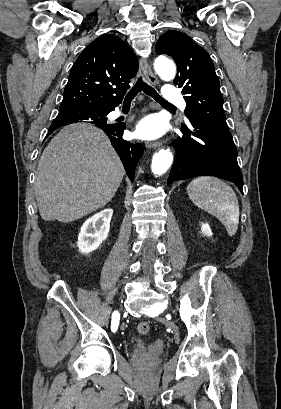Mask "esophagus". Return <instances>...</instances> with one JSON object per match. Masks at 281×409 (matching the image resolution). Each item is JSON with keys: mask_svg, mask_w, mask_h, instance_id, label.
Here are the masks:
<instances>
[{"mask_svg": "<svg viewBox=\"0 0 281 409\" xmlns=\"http://www.w3.org/2000/svg\"><path fill=\"white\" fill-rule=\"evenodd\" d=\"M140 67H141L146 79L148 80V82H150L153 85L158 84V79L154 75V73L152 72L147 60L141 58L140 59ZM160 145H162L160 142H150L146 146L148 148L155 149V148L159 147Z\"/></svg>", "mask_w": 281, "mask_h": 409, "instance_id": "esophagus-1", "label": "esophagus"}]
</instances>
